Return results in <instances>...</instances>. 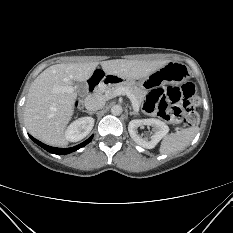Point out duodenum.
Instances as JSON below:
<instances>
[{
  "label": "duodenum",
  "mask_w": 233,
  "mask_h": 233,
  "mask_svg": "<svg viewBox=\"0 0 233 233\" xmlns=\"http://www.w3.org/2000/svg\"><path fill=\"white\" fill-rule=\"evenodd\" d=\"M120 78L116 75L105 73L102 68H95V74L89 79L88 84L90 90L97 87H105L110 84H116Z\"/></svg>",
  "instance_id": "duodenum-1"
}]
</instances>
